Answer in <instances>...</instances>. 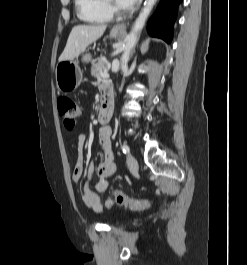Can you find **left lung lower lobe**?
I'll return each instance as SVG.
<instances>
[{
  "label": "left lung lower lobe",
  "instance_id": "left-lung-lower-lobe-1",
  "mask_svg": "<svg viewBox=\"0 0 247 265\" xmlns=\"http://www.w3.org/2000/svg\"><path fill=\"white\" fill-rule=\"evenodd\" d=\"M182 0H161L160 4L150 19L148 32L151 36L161 38L167 43L171 42L173 26Z\"/></svg>",
  "mask_w": 247,
  "mask_h": 265
}]
</instances>
